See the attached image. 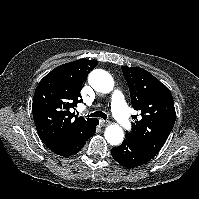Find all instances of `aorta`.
Masks as SVG:
<instances>
[{
  "label": "aorta",
  "mask_w": 199,
  "mask_h": 199,
  "mask_svg": "<svg viewBox=\"0 0 199 199\" xmlns=\"http://www.w3.org/2000/svg\"><path fill=\"white\" fill-rule=\"evenodd\" d=\"M88 82L97 92L109 93L113 90L112 76L105 70L95 69L88 76ZM124 138L123 129L117 124L109 125L105 130V139L111 145H119Z\"/></svg>",
  "instance_id": "obj_1"
}]
</instances>
